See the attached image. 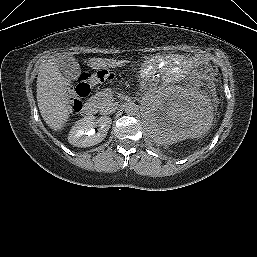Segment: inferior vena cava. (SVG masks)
I'll return each instance as SVG.
<instances>
[{
  "label": "inferior vena cava",
  "instance_id": "inferior-vena-cava-1",
  "mask_svg": "<svg viewBox=\"0 0 257 257\" xmlns=\"http://www.w3.org/2000/svg\"><path fill=\"white\" fill-rule=\"evenodd\" d=\"M118 108L117 103L113 102H108L102 109H101V114L103 115H109L114 113Z\"/></svg>",
  "mask_w": 257,
  "mask_h": 257
}]
</instances>
